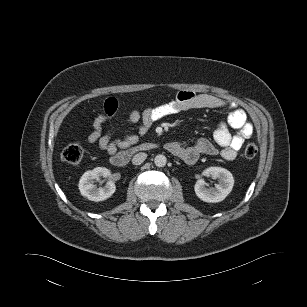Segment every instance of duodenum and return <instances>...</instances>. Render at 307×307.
Instances as JSON below:
<instances>
[{
  "label": "duodenum",
  "mask_w": 307,
  "mask_h": 307,
  "mask_svg": "<svg viewBox=\"0 0 307 307\" xmlns=\"http://www.w3.org/2000/svg\"><path fill=\"white\" fill-rule=\"evenodd\" d=\"M156 147V144L152 142H144L140 143L134 146H131L130 148L121 151L117 153L116 155L112 156L110 158V163L114 167L122 168L128 165L131 157L139 152H146L154 149Z\"/></svg>",
  "instance_id": "410a0bca"
}]
</instances>
